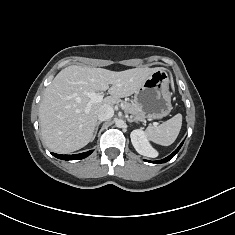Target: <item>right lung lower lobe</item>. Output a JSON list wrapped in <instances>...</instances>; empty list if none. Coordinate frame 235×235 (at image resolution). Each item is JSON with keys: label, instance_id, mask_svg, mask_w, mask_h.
I'll list each match as a JSON object with an SVG mask.
<instances>
[{"label": "right lung lower lobe", "instance_id": "right-lung-lower-lobe-1", "mask_svg": "<svg viewBox=\"0 0 235 235\" xmlns=\"http://www.w3.org/2000/svg\"><path fill=\"white\" fill-rule=\"evenodd\" d=\"M92 152H93V150H90L88 152H84V153H81V154H75V155H60V154H56V153H52V155L55 156L56 158H59V159H62V160H78V159L86 158Z\"/></svg>", "mask_w": 235, "mask_h": 235}]
</instances>
